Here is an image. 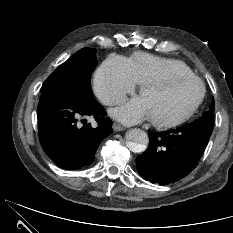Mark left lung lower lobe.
Returning <instances> with one entry per match:
<instances>
[{
    "instance_id": "left-lung-lower-lobe-1",
    "label": "left lung lower lobe",
    "mask_w": 233,
    "mask_h": 233,
    "mask_svg": "<svg viewBox=\"0 0 233 233\" xmlns=\"http://www.w3.org/2000/svg\"><path fill=\"white\" fill-rule=\"evenodd\" d=\"M211 133L212 130L194 123L149 133V148L136 158L138 173L161 185L184 178L196 167Z\"/></svg>"
}]
</instances>
